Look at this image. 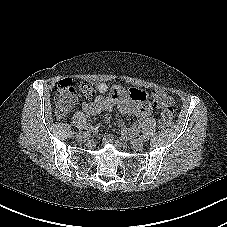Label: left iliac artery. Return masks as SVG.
Masks as SVG:
<instances>
[{
    "mask_svg": "<svg viewBox=\"0 0 227 227\" xmlns=\"http://www.w3.org/2000/svg\"><path fill=\"white\" fill-rule=\"evenodd\" d=\"M140 139H142L143 141H148L149 140V136L148 135H146V134H143L141 137H140Z\"/></svg>",
    "mask_w": 227,
    "mask_h": 227,
    "instance_id": "1",
    "label": "left iliac artery"
}]
</instances>
